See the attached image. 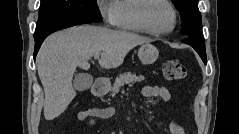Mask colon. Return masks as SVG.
Returning a JSON list of instances; mask_svg holds the SVG:
<instances>
[{"label": "colon", "instance_id": "1", "mask_svg": "<svg viewBox=\"0 0 239 134\" xmlns=\"http://www.w3.org/2000/svg\"><path fill=\"white\" fill-rule=\"evenodd\" d=\"M163 75L169 81L181 80L186 75V68L179 61H168L163 66Z\"/></svg>", "mask_w": 239, "mask_h": 134}]
</instances>
